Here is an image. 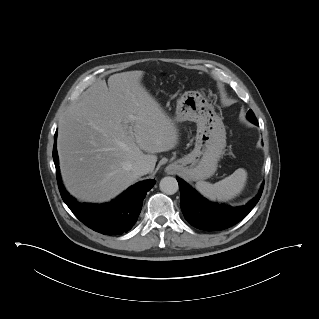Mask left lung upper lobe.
<instances>
[{"mask_svg": "<svg viewBox=\"0 0 319 319\" xmlns=\"http://www.w3.org/2000/svg\"><path fill=\"white\" fill-rule=\"evenodd\" d=\"M247 118L252 122V123H256L257 119L254 115V113L252 112V110H249L247 113Z\"/></svg>", "mask_w": 319, "mask_h": 319, "instance_id": "1", "label": "left lung upper lobe"}]
</instances>
